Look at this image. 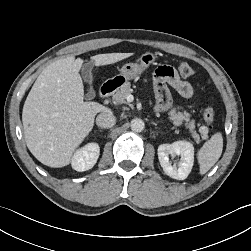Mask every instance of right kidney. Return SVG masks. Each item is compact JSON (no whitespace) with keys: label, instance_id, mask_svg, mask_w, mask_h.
I'll list each match as a JSON object with an SVG mask.
<instances>
[{"label":"right kidney","instance_id":"1","mask_svg":"<svg viewBox=\"0 0 251 251\" xmlns=\"http://www.w3.org/2000/svg\"><path fill=\"white\" fill-rule=\"evenodd\" d=\"M99 152L100 148L97 143H88L77 150L71 160L73 169L78 172L91 169L99 158Z\"/></svg>","mask_w":251,"mask_h":251}]
</instances>
